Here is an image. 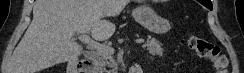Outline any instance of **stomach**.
Listing matches in <instances>:
<instances>
[{"mask_svg": "<svg viewBox=\"0 0 244 73\" xmlns=\"http://www.w3.org/2000/svg\"><path fill=\"white\" fill-rule=\"evenodd\" d=\"M132 15L139 24L152 33L164 34L171 28L169 20L158 15L148 5L137 7L133 10Z\"/></svg>", "mask_w": 244, "mask_h": 73, "instance_id": "obj_1", "label": "stomach"}]
</instances>
